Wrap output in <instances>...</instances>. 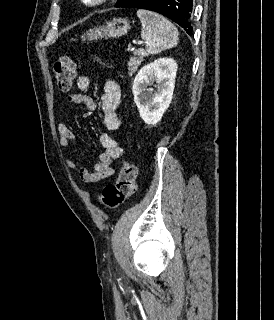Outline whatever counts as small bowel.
Returning a JSON list of instances; mask_svg holds the SVG:
<instances>
[{"mask_svg":"<svg viewBox=\"0 0 274 320\" xmlns=\"http://www.w3.org/2000/svg\"><path fill=\"white\" fill-rule=\"evenodd\" d=\"M92 83L89 75H80L77 79V87L81 91H86ZM65 110L71 105L81 104L88 111L96 109L95 100L84 93L77 92L68 95L65 98ZM121 103V91L118 84L107 79L104 84V91L101 97V114L103 123L109 130H117L121 127L123 117L119 111ZM58 133L60 143L64 148L69 149L71 144L76 141V136L69 126L61 121L58 124ZM100 144L103 147V152L99 155L98 161L94 166V170L89 171L84 167L79 166L72 159H66L67 168L74 171L84 182L96 183L113 174L114 169L112 162L119 159L124 154V149L118 144L116 139L109 134H102L99 138Z\"/></svg>","mask_w":274,"mask_h":320,"instance_id":"small-bowel-1","label":"small bowel"}]
</instances>
